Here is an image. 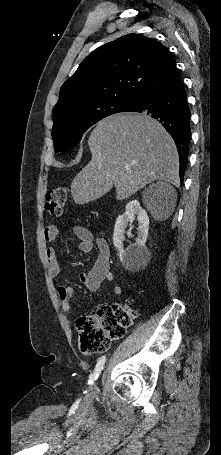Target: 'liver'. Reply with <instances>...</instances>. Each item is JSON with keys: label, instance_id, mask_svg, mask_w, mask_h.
<instances>
[{"label": "liver", "instance_id": "liver-1", "mask_svg": "<svg viewBox=\"0 0 221 455\" xmlns=\"http://www.w3.org/2000/svg\"><path fill=\"white\" fill-rule=\"evenodd\" d=\"M88 145L92 158L71 183L76 204L102 197L113 185L117 200L157 180L179 185L175 143L150 116L130 112L108 116L93 129Z\"/></svg>", "mask_w": 221, "mask_h": 455}]
</instances>
